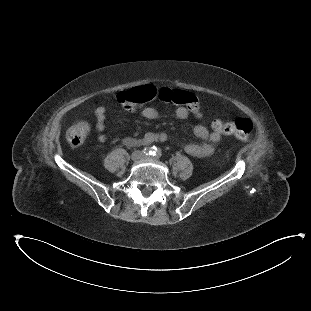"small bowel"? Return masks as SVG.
I'll return each mask as SVG.
<instances>
[{"label":"small bowel","instance_id":"small-bowel-1","mask_svg":"<svg viewBox=\"0 0 311 311\" xmlns=\"http://www.w3.org/2000/svg\"><path fill=\"white\" fill-rule=\"evenodd\" d=\"M168 88V87H166ZM177 118L179 119H186L189 115L188 110L185 107H178L175 111ZM96 128L100 132L98 136V140L100 142H105L106 137L102 133L105 128V121H106V114L103 108H99L96 110ZM142 116L148 120H154L159 116V112L153 107H145L142 110ZM194 134L197 138L202 140V143H183L181 146L183 150L191 156L194 157H207L210 156L214 150L216 145L219 143L221 139L220 133L217 132H210L205 126L203 125H196L194 127ZM148 142V144L163 141L167 138L165 133H147L143 137H140ZM129 144H133L130 139L126 141Z\"/></svg>","mask_w":311,"mask_h":311}]
</instances>
